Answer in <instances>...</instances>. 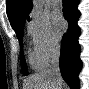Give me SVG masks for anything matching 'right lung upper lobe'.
I'll return each mask as SVG.
<instances>
[{
	"label": "right lung upper lobe",
	"instance_id": "1",
	"mask_svg": "<svg viewBox=\"0 0 89 89\" xmlns=\"http://www.w3.org/2000/svg\"><path fill=\"white\" fill-rule=\"evenodd\" d=\"M6 6L7 15L13 29L27 19L33 8L32 0H6Z\"/></svg>",
	"mask_w": 89,
	"mask_h": 89
}]
</instances>
